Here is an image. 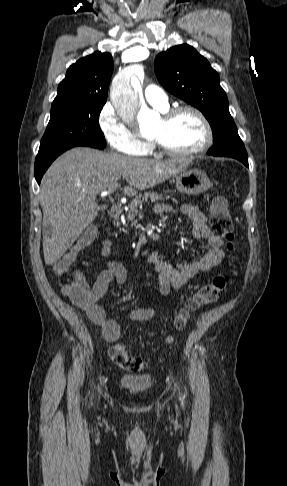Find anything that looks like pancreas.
<instances>
[{
    "mask_svg": "<svg viewBox=\"0 0 287 486\" xmlns=\"http://www.w3.org/2000/svg\"><path fill=\"white\" fill-rule=\"evenodd\" d=\"M148 199H150L151 202H155V201H161V200H164V199H167L164 198L162 195H158L157 193H154V192H145L144 194H140L139 196L135 197L130 205H129V210L126 214V220L129 222V221H133V219L135 218V216L137 215L138 213V209L139 207L142 206V203L143 202H147Z\"/></svg>",
    "mask_w": 287,
    "mask_h": 486,
    "instance_id": "obj_1",
    "label": "pancreas"
}]
</instances>
